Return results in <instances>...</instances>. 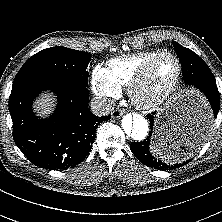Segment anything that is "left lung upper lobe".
I'll list each match as a JSON object with an SVG mask.
<instances>
[{
    "mask_svg": "<svg viewBox=\"0 0 222 222\" xmlns=\"http://www.w3.org/2000/svg\"><path fill=\"white\" fill-rule=\"evenodd\" d=\"M173 45H174L176 53L179 56L180 61L187 60L191 63L197 64L201 73L199 77L197 78L198 81L203 82L205 84L216 85V81L211 70L209 69V67L207 66V64L204 62L202 58H200L192 50L183 47L182 45H180L179 43L175 41H173ZM156 163H158L157 166L162 165V163L159 161L158 162L156 161Z\"/></svg>",
    "mask_w": 222,
    "mask_h": 222,
    "instance_id": "5c2ea615",
    "label": "left lung upper lobe"
}]
</instances>
